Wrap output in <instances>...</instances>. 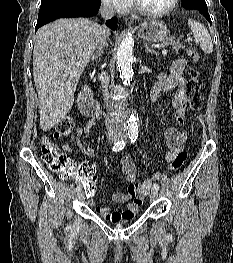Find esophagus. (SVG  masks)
Listing matches in <instances>:
<instances>
[{
	"label": "esophagus",
	"mask_w": 233,
	"mask_h": 263,
	"mask_svg": "<svg viewBox=\"0 0 233 263\" xmlns=\"http://www.w3.org/2000/svg\"><path fill=\"white\" fill-rule=\"evenodd\" d=\"M125 24L129 27L133 25V19L132 18H126L125 19Z\"/></svg>",
	"instance_id": "34e87169"
}]
</instances>
